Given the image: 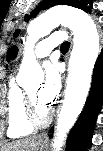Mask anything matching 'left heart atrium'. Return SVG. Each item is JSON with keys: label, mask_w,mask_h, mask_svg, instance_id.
Instances as JSON below:
<instances>
[{"label": "left heart atrium", "mask_w": 103, "mask_h": 151, "mask_svg": "<svg viewBox=\"0 0 103 151\" xmlns=\"http://www.w3.org/2000/svg\"><path fill=\"white\" fill-rule=\"evenodd\" d=\"M60 75L56 67L47 66L45 68V79L38 91V102L49 108L57 97L60 90Z\"/></svg>", "instance_id": "obj_1"}]
</instances>
